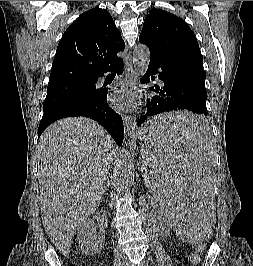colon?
Returning <instances> with one entry per match:
<instances>
[{"label": "colon", "instance_id": "1", "mask_svg": "<svg viewBox=\"0 0 253 266\" xmlns=\"http://www.w3.org/2000/svg\"><path fill=\"white\" fill-rule=\"evenodd\" d=\"M190 261L193 262V263H195V262L198 261V257H197L196 255H192V256L190 257Z\"/></svg>", "mask_w": 253, "mask_h": 266}]
</instances>
